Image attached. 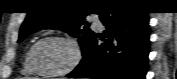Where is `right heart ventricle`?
<instances>
[{
  "label": "right heart ventricle",
  "instance_id": "e07e8e85",
  "mask_svg": "<svg viewBox=\"0 0 177 79\" xmlns=\"http://www.w3.org/2000/svg\"><path fill=\"white\" fill-rule=\"evenodd\" d=\"M29 51L28 50L26 52L25 58H24V62H23V67H22V72L24 74H28V75H35L37 72H35L32 68V66L30 65V61H29Z\"/></svg>",
  "mask_w": 177,
  "mask_h": 79
}]
</instances>
